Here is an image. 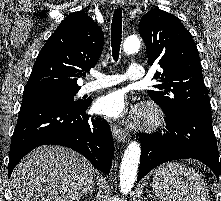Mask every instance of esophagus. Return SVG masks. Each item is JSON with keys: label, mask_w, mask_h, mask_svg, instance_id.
I'll return each instance as SVG.
<instances>
[{"label": "esophagus", "mask_w": 221, "mask_h": 201, "mask_svg": "<svg viewBox=\"0 0 221 201\" xmlns=\"http://www.w3.org/2000/svg\"><path fill=\"white\" fill-rule=\"evenodd\" d=\"M124 3V0H114V4L116 7H121ZM111 131L113 134V137L118 141L122 143H126L129 140V133L120 129L117 125L111 124Z\"/></svg>", "instance_id": "34e87169"}]
</instances>
